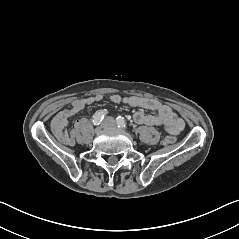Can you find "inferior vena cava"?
Returning <instances> with one entry per match:
<instances>
[{
  "label": "inferior vena cava",
  "mask_w": 239,
  "mask_h": 239,
  "mask_svg": "<svg viewBox=\"0 0 239 239\" xmlns=\"http://www.w3.org/2000/svg\"><path fill=\"white\" fill-rule=\"evenodd\" d=\"M101 127L105 130H110L114 127L115 125V120L112 116L110 117H105L102 122L100 123Z\"/></svg>",
  "instance_id": "1"
}]
</instances>
